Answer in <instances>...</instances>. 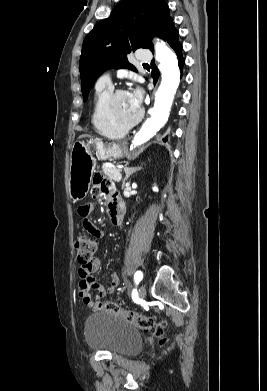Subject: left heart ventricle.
<instances>
[{"label":"left heart ventricle","mask_w":267,"mask_h":391,"mask_svg":"<svg viewBox=\"0 0 267 391\" xmlns=\"http://www.w3.org/2000/svg\"><path fill=\"white\" fill-rule=\"evenodd\" d=\"M114 111L118 119L122 122L133 120L139 113V109L134 106L129 93L122 94L116 98Z\"/></svg>","instance_id":"1"}]
</instances>
